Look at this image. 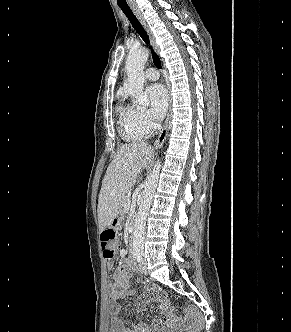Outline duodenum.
<instances>
[{
    "mask_svg": "<svg viewBox=\"0 0 291 332\" xmlns=\"http://www.w3.org/2000/svg\"><path fill=\"white\" fill-rule=\"evenodd\" d=\"M135 228V221H132V223H131V229L133 230ZM133 253V250H132V248H130V254H132Z\"/></svg>",
    "mask_w": 291,
    "mask_h": 332,
    "instance_id": "obj_1",
    "label": "duodenum"
}]
</instances>
